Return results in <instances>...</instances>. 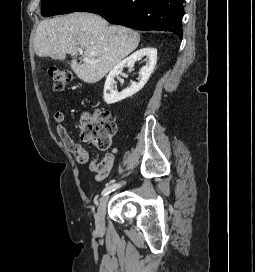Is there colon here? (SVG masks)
I'll return each mask as SVG.
<instances>
[{"mask_svg":"<svg viewBox=\"0 0 255 272\" xmlns=\"http://www.w3.org/2000/svg\"><path fill=\"white\" fill-rule=\"evenodd\" d=\"M55 91H63L70 83L71 73L63 68H51L48 72ZM116 132V123L111 114L99 111L95 116L82 115L79 133L83 140L90 142L99 150L109 149Z\"/></svg>","mask_w":255,"mask_h":272,"instance_id":"obj_1","label":"colon"}]
</instances>
